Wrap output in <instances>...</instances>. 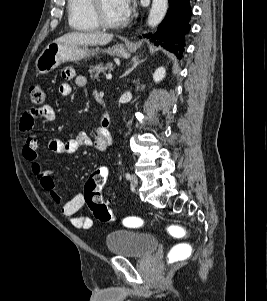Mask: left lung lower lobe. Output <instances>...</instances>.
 <instances>
[{"label":"left lung lower lobe","mask_w":267,"mask_h":301,"mask_svg":"<svg viewBox=\"0 0 267 301\" xmlns=\"http://www.w3.org/2000/svg\"><path fill=\"white\" fill-rule=\"evenodd\" d=\"M191 14L189 0H169L168 13L157 31L146 33L143 37L174 52L181 59L185 46L184 36L190 30L188 23Z\"/></svg>","instance_id":"0a47b994"}]
</instances>
